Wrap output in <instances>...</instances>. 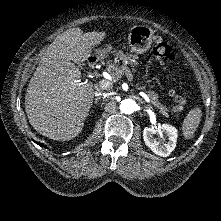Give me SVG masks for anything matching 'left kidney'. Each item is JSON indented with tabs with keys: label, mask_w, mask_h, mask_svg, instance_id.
I'll return each mask as SVG.
<instances>
[{
	"label": "left kidney",
	"mask_w": 221,
	"mask_h": 221,
	"mask_svg": "<svg viewBox=\"0 0 221 221\" xmlns=\"http://www.w3.org/2000/svg\"><path fill=\"white\" fill-rule=\"evenodd\" d=\"M159 133L163 143L159 142L154 134ZM178 137V131L175 127L162 124L158 128L145 127L143 130V139L145 144L153 151L156 155L167 157L176 147Z\"/></svg>",
	"instance_id": "left-kidney-1"
}]
</instances>
